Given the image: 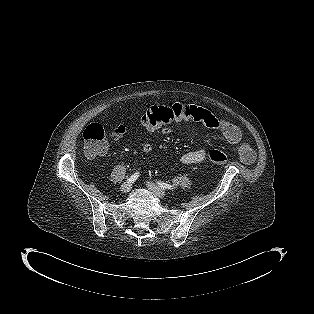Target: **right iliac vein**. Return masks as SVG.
<instances>
[{
    "label": "right iliac vein",
    "mask_w": 314,
    "mask_h": 314,
    "mask_svg": "<svg viewBox=\"0 0 314 314\" xmlns=\"http://www.w3.org/2000/svg\"><path fill=\"white\" fill-rule=\"evenodd\" d=\"M131 183L130 182H126V183H123L120 187V190L122 193H127L130 191L131 189Z\"/></svg>",
    "instance_id": "63e3f726"
}]
</instances>
